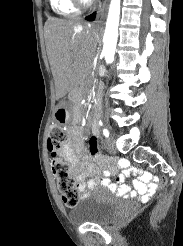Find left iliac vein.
<instances>
[{
  "label": "left iliac vein",
  "mask_w": 183,
  "mask_h": 246,
  "mask_svg": "<svg viewBox=\"0 0 183 246\" xmlns=\"http://www.w3.org/2000/svg\"><path fill=\"white\" fill-rule=\"evenodd\" d=\"M106 148L111 153H115L116 152L117 148H116L115 140L112 137L107 139Z\"/></svg>",
  "instance_id": "4c4485c4"
}]
</instances>
